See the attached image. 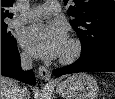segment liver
<instances>
[{"mask_svg": "<svg viewBox=\"0 0 115 99\" xmlns=\"http://www.w3.org/2000/svg\"><path fill=\"white\" fill-rule=\"evenodd\" d=\"M18 85L17 83L7 77L1 76V99H15V95L17 94ZM23 99H29V92L25 89V94Z\"/></svg>", "mask_w": 115, "mask_h": 99, "instance_id": "liver-1", "label": "liver"}]
</instances>
